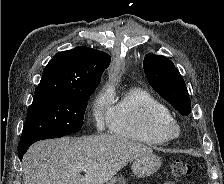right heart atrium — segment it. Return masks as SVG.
<instances>
[{"instance_id":"1","label":"right heart atrium","mask_w":224,"mask_h":184,"mask_svg":"<svg viewBox=\"0 0 224 184\" xmlns=\"http://www.w3.org/2000/svg\"><path fill=\"white\" fill-rule=\"evenodd\" d=\"M113 99L112 93H100L93 101L92 104V118L95 126L99 130L105 129L110 125L111 115V101Z\"/></svg>"}]
</instances>
